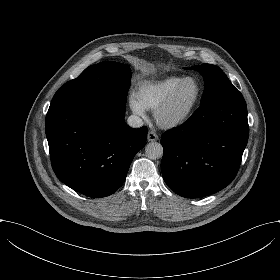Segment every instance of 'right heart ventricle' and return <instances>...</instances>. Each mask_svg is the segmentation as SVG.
<instances>
[{
	"instance_id": "obj_1",
	"label": "right heart ventricle",
	"mask_w": 280,
	"mask_h": 280,
	"mask_svg": "<svg viewBox=\"0 0 280 280\" xmlns=\"http://www.w3.org/2000/svg\"><path fill=\"white\" fill-rule=\"evenodd\" d=\"M183 78L181 75H171L155 81L144 80L137 85L135 98L144 109L156 111Z\"/></svg>"
}]
</instances>
